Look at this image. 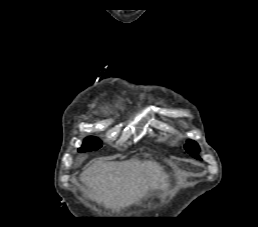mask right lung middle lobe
Wrapping results in <instances>:
<instances>
[{
    "mask_svg": "<svg viewBox=\"0 0 258 227\" xmlns=\"http://www.w3.org/2000/svg\"><path fill=\"white\" fill-rule=\"evenodd\" d=\"M100 140L96 137H87L79 151H92L99 149L102 145Z\"/></svg>",
    "mask_w": 258,
    "mask_h": 227,
    "instance_id": "1",
    "label": "right lung middle lobe"
}]
</instances>
